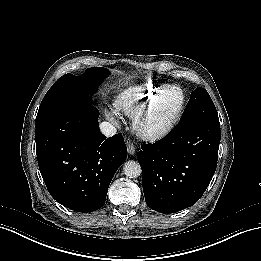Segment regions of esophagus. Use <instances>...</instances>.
<instances>
[{
	"instance_id": "esophagus-1",
	"label": "esophagus",
	"mask_w": 261,
	"mask_h": 261,
	"mask_svg": "<svg viewBox=\"0 0 261 261\" xmlns=\"http://www.w3.org/2000/svg\"><path fill=\"white\" fill-rule=\"evenodd\" d=\"M127 150H128L129 154H131V155L135 154V147H134L133 143L129 142L127 144Z\"/></svg>"
}]
</instances>
